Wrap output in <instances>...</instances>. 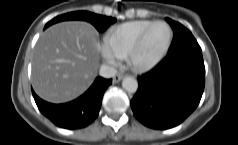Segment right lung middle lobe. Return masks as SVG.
Wrapping results in <instances>:
<instances>
[{
  "mask_svg": "<svg viewBox=\"0 0 238 145\" xmlns=\"http://www.w3.org/2000/svg\"><path fill=\"white\" fill-rule=\"evenodd\" d=\"M66 20H84L91 23L99 32H103L111 24L116 22L115 18L97 15L88 11H75L66 13L52 19L45 25V29L50 25Z\"/></svg>",
  "mask_w": 238,
  "mask_h": 145,
  "instance_id": "right-lung-middle-lobe-1",
  "label": "right lung middle lobe"
}]
</instances>
